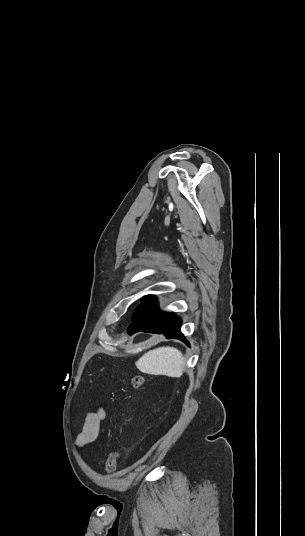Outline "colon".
I'll return each mask as SVG.
<instances>
[{"label":"colon","mask_w":305,"mask_h":536,"mask_svg":"<svg viewBox=\"0 0 305 536\" xmlns=\"http://www.w3.org/2000/svg\"><path fill=\"white\" fill-rule=\"evenodd\" d=\"M144 384V376L142 374H135L131 377V386L134 388L141 387ZM118 455L115 450L109 452L107 458V470L109 473H114L117 469Z\"/></svg>","instance_id":"1"}]
</instances>
